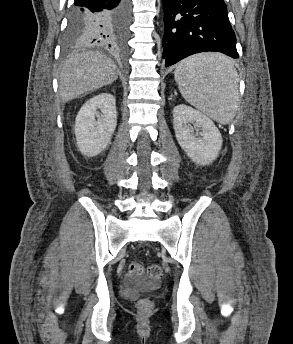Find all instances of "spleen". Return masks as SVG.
Returning a JSON list of instances; mask_svg holds the SVG:
<instances>
[{
	"label": "spleen",
	"instance_id": "obj_1",
	"mask_svg": "<svg viewBox=\"0 0 293 344\" xmlns=\"http://www.w3.org/2000/svg\"><path fill=\"white\" fill-rule=\"evenodd\" d=\"M180 93L191 105L228 124L236 114L238 74L231 60L220 53H200L181 61L175 70Z\"/></svg>",
	"mask_w": 293,
	"mask_h": 344
}]
</instances>
